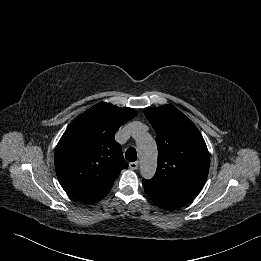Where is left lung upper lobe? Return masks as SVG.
Segmentation results:
<instances>
[{"label": "left lung upper lobe", "mask_w": 261, "mask_h": 261, "mask_svg": "<svg viewBox=\"0 0 261 261\" xmlns=\"http://www.w3.org/2000/svg\"><path fill=\"white\" fill-rule=\"evenodd\" d=\"M144 113L156 131L158 165L154 177L143 181L196 196L209 171V153L199 130L172 105L148 107Z\"/></svg>", "instance_id": "5c2ea615"}]
</instances>
